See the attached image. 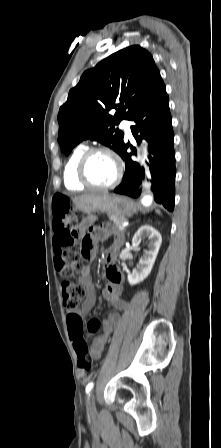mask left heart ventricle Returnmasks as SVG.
<instances>
[{"mask_svg":"<svg viewBox=\"0 0 221 448\" xmlns=\"http://www.w3.org/2000/svg\"><path fill=\"white\" fill-rule=\"evenodd\" d=\"M87 173L95 184L107 185L116 175V164L109 155L98 154L89 161Z\"/></svg>","mask_w":221,"mask_h":448,"instance_id":"left-heart-ventricle-1","label":"left heart ventricle"}]
</instances>
